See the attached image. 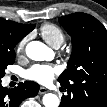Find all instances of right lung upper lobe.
<instances>
[{
	"mask_svg": "<svg viewBox=\"0 0 107 107\" xmlns=\"http://www.w3.org/2000/svg\"><path fill=\"white\" fill-rule=\"evenodd\" d=\"M34 27V24L24 25L0 18V56L13 52L16 44Z\"/></svg>",
	"mask_w": 107,
	"mask_h": 107,
	"instance_id": "right-lung-upper-lobe-1",
	"label": "right lung upper lobe"
}]
</instances>
